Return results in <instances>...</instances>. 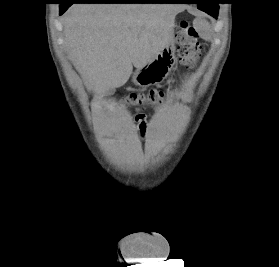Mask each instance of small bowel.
<instances>
[{
  "label": "small bowel",
  "instance_id": "obj_1",
  "mask_svg": "<svg viewBox=\"0 0 279 267\" xmlns=\"http://www.w3.org/2000/svg\"><path fill=\"white\" fill-rule=\"evenodd\" d=\"M136 122H137V126L139 128V130L144 133L145 130H146V127H147V124H146V120H145V117L144 115L141 116V117H136Z\"/></svg>",
  "mask_w": 279,
  "mask_h": 267
}]
</instances>
